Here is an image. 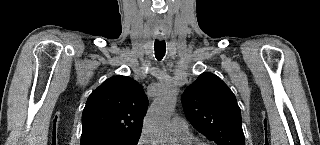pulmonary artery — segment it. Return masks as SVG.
Segmentation results:
<instances>
[{"label": "pulmonary artery", "mask_w": 320, "mask_h": 145, "mask_svg": "<svg viewBox=\"0 0 320 145\" xmlns=\"http://www.w3.org/2000/svg\"><path fill=\"white\" fill-rule=\"evenodd\" d=\"M170 129L175 137L184 138L191 136L188 122L181 117H174L171 120Z\"/></svg>", "instance_id": "e3ab8cb5"}]
</instances>
